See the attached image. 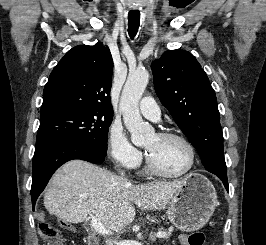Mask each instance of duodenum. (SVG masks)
Returning a JSON list of instances; mask_svg holds the SVG:
<instances>
[{
  "label": "duodenum",
  "mask_w": 266,
  "mask_h": 245,
  "mask_svg": "<svg viewBox=\"0 0 266 245\" xmlns=\"http://www.w3.org/2000/svg\"><path fill=\"white\" fill-rule=\"evenodd\" d=\"M88 245H99L98 239L96 237L92 236L89 239Z\"/></svg>",
  "instance_id": "duodenum-1"
}]
</instances>
